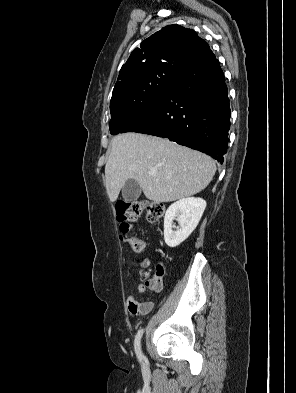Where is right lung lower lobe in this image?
<instances>
[{
	"instance_id": "1",
	"label": "right lung lower lobe",
	"mask_w": 296,
	"mask_h": 393,
	"mask_svg": "<svg viewBox=\"0 0 296 393\" xmlns=\"http://www.w3.org/2000/svg\"><path fill=\"white\" fill-rule=\"evenodd\" d=\"M230 113L225 77L210 50L180 73L172 86L120 133L168 138L222 163L228 145Z\"/></svg>"
}]
</instances>
